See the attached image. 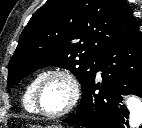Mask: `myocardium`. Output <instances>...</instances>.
<instances>
[{"mask_svg":"<svg viewBox=\"0 0 142 128\" xmlns=\"http://www.w3.org/2000/svg\"><path fill=\"white\" fill-rule=\"evenodd\" d=\"M51 76L63 77L68 82L71 90L70 100L67 106L63 110L55 113L46 112L40 106V91L42 83L45 79ZM80 97H81L80 83L76 78V76L70 70L65 68H53L44 71L40 76V78L38 79L34 92V103H35L36 112L47 118L54 119V118L63 117L75 109V107L78 105L80 101Z\"/></svg>","mask_w":142,"mask_h":128,"instance_id":"obj_1","label":"myocardium"}]
</instances>
